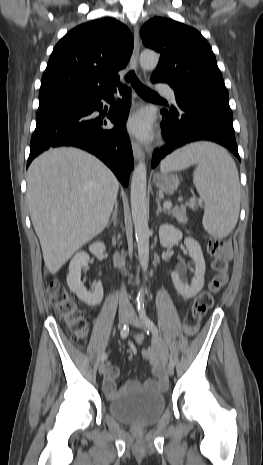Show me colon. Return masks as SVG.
I'll return each instance as SVG.
<instances>
[{
    "label": "colon",
    "instance_id": "1",
    "mask_svg": "<svg viewBox=\"0 0 263 465\" xmlns=\"http://www.w3.org/2000/svg\"><path fill=\"white\" fill-rule=\"evenodd\" d=\"M207 250L213 258L212 267L215 275L210 281L208 289L199 293L194 300L191 315L196 321L201 320L212 307L214 295L225 286L228 279V261L223 242L215 238H208ZM48 291L51 303L67 325L73 338L76 340L84 339L87 334V321L65 286L59 279L55 278L51 281ZM191 329H195V327L192 326Z\"/></svg>",
    "mask_w": 263,
    "mask_h": 465
}]
</instances>
